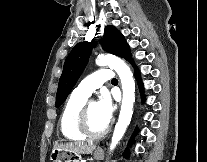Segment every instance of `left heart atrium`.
I'll return each instance as SVG.
<instances>
[{
	"mask_svg": "<svg viewBox=\"0 0 207 162\" xmlns=\"http://www.w3.org/2000/svg\"><path fill=\"white\" fill-rule=\"evenodd\" d=\"M98 105L105 122L108 124L111 121L115 111L114 102L108 92H104L101 95Z\"/></svg>",
	"mask_w": 207,
	"mask_h": 162,
	"instance_id": "left-heart-atrium-1",
	"label": "left heart atrium"
}]
</instances>
